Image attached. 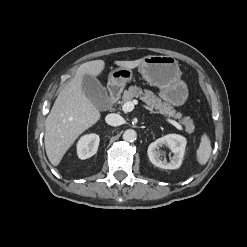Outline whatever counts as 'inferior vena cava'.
<instances>
[{
    "instance_id": "inferior-vena-cava-1",
    "label": "inferior vena cava",
    "mask_w": 247,
    "mask_h": 247,
    "mask_svg": "<svg viewBox=\"0 0 247 247\" xmlns=\"http://www.w3.org/2000/svg\"><path fill=\"white\" fill-rule=\"evenodd\" d=\"M105 121L108 125L119 126L123 124V118L119 114L111 113L105 117Z\"/></svg>"
}]
</instances>
